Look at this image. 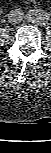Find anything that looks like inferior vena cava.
I'll return each instance as SVG.
<instances>
[{
  "label": "inferior vena cava",
  "mask_w": 51,
  "mask_h": 153,
  "mask_svg": "<svg viewBox=\"0 0 51 153\" xmlns=\"http://www.w3.org/2000/svg\"><path fill=\"white\" fill-rule=\"evenodd\" d=\"M24 19V13L21 9H15L8 14V20L12 24H19Z\"/></svg>",
  "instance_id": "1"
}]
</instances>
